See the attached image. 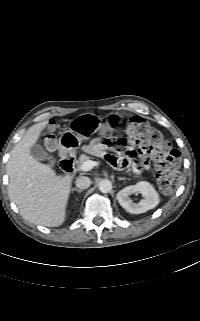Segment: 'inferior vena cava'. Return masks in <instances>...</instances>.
I'll return each instance as SVG.
<instances>
[{
    "label": "inferior vena cava",
    "instance_id": "1",
    "mask_svg": "<svg viewBox=\"0 0 200 321\" xmlns=\"http://www.w3.org/2000/svg\"><path fill=\"white\" fill-rule=\"evenodd\" d=\"M91 185V180L89 177L80 176L76 179V186L79 189H87Z\"/></svg>",
    "mask_w": 200,
    "mask_h": 321
}]
</instances>
